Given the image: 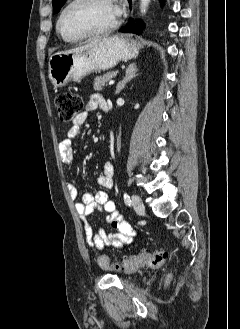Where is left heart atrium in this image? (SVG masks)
Masks as SVG:
<instances>
[{"label":"left heart atrium","instance_id":"left-heart-atrium-1","mask_svg":"<svg viewBox=\"0 0 240 329\" xmlns=\"http://www.w3.org/2000/svg\"><path fill=\"white\" fill-rule=\"evenodd\" d=\"M113 7H114V11L116 13V15H120L121 14V7L116 3V4H113Z\"/></svg>","mask_w":240,"mask_h":329}]
</instances>
